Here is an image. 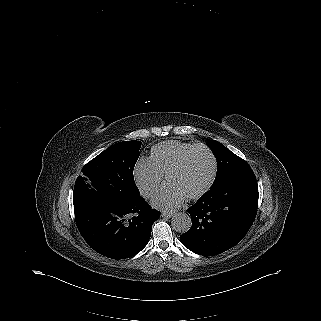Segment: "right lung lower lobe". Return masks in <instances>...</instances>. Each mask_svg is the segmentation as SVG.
<instances>
[{
    "instance_id": "right-lung-lower-lobe-1",
    "label": "right lung lower lobe",
    "mask_w": 321,
    "mask_h": 321,
    "mask_svg": "<svg viewBox=\"0 0 321 321\" xmlns=\"http://www.w3.org/2000/svg\"><path fill=\"white\" fill-rule=\"evenodd\" d=\"M76 225L95 251L112 259L139 253L148 243L160 212L138 197L130 202L101 201L74 206Z\"/></svg>"
}]
</instances>
